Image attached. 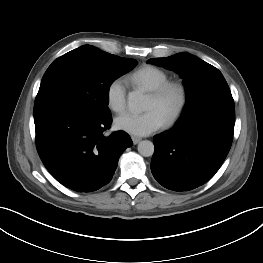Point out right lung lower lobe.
<instances>
[{
    "label": "right lung lower lobe",
    "instance_id": "98d812e1",
    "mask_svg": "<svg viewBox=\"0 0 263 263\" xmlns=\"http://www.w3.org/2000/svg\"><path fill=\"white\" fill-rule=\"evenodd\" d=\"M39 156L51 175L77 192H92L108 184L121 154L133 145L124 131L109 136L111 115L95 116L57 109L34 116Z\"/></svg>",
    "mask_w": 263,
    "mask_h": 263
}]
</instances>
